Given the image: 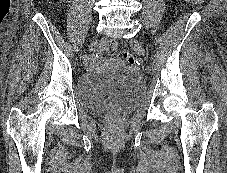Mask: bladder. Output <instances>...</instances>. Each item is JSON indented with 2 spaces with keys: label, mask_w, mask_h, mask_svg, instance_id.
Listing matches in <instances>:
<instances>
[{
  "label": "bladder",
  "mask_w": 227,
  "mask_h": 173,
  "mask_svg": "<svg viewBox=\"0 0 227 173\" xmlns=\"http://www.w3.org/2000/svg\"><path fill=\"white\" fill-rule=\"evenodd\" d=\"M144 90V80L140 75L128 69L112 68L81 75L76 94L85 111L99 114L109 109L132 110L141 102Z\"/></svg>",
  "instance_id": "31cf9c89"
}]
</instances>
